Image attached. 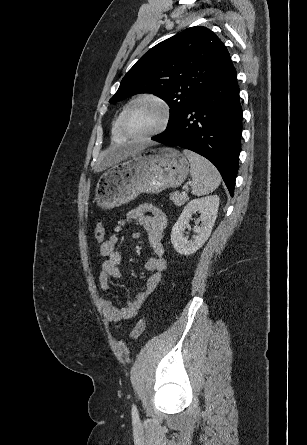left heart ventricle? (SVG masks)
Returning a JSON list of instances; mask_svg holds the SVG:
<instances>
[{"instance_id":"b2bd125f","label":"left heart ventricle","mask_w":307,"mask_h":445,"mask_svg":"<svg viewBox=\"0 0 307 445\" xmlns=\"http://www.w3.org/2000/svg\"><path fill=\"white\" fill-rule=\"evenodd\" d=\"M162 119V108L152 101L138 102L131 106L128 113L129 125L136 133L154 130Z\"/></svg>"}]
</instances>
